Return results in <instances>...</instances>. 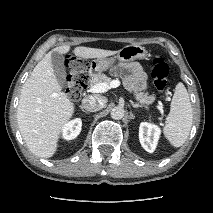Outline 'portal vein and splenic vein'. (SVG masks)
<instances>
[{
	"mask_svg": "<svg viewBox=\"0 0 213 213\" xmlns=\"http://www.w3.org/2000/svg\"><path fill=\"white\" fill-rule=\"evenodd\" d=\"M120 85L119 80H113L109 84L108 83H98L90 87L89 91L91 93H104L107 92L111 88H116ZM157 108L163 113V105L159 103Z\"/></svg>",
	"mask_w": 213,
	"mask_h": 213,
	"instance_id": "obj_1",
	"label": "portal vein and splenic vein"
}]
</instances>
